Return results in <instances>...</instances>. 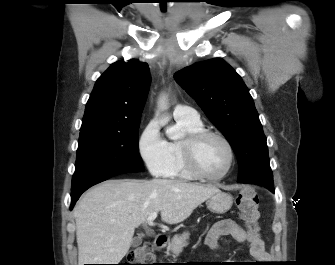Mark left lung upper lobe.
<instances>
[{"instance_id":"obj_1","label":"left lung upper lobe","mask_w":335,"mask_h":265,"mask_svg":"<svg viewBox=\"0 0 335 265\" xmlns=\"http://www.w3.org/2000/svg\"><path fill=\"white\" fill-rule=\"evenodd\" d=\"M174 78L229 141L238 159V182L272 191L266 137L241 77L224 60L214 58L186 67Z\"/></svg>"}]
</instances>
